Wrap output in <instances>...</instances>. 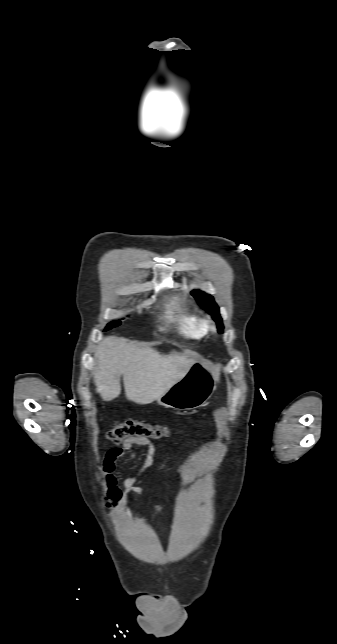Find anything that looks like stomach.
Listing matches in <instances>:
<instances>
[{
  "label": "stomach",
  "instance_id": "0dacf381",
  "mask_svg": "<svg viewBox=\"0 0 337 644\" xmlns=\"http://www.w3.org/2000/svg\"><path fill=\"white\" fill-rule=\"evenodd\" d=\"M214 391V374L205 360L195 361L188 373L157 399L160 405L175 410L201 407Z\"/></svg>",
  "mask_w": 337,
  "mask_h": 644
}]
</instances>
